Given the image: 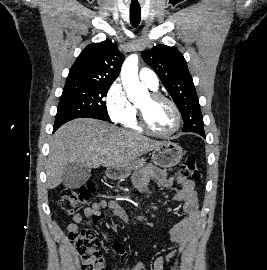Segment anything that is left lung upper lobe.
Returning a JSON list of instances; mask_svg holds the SVG:
<instances>
[{"instance_id": "1", "label": "left lung upper lobe", "mask_w": 267, "mask_h": 270, "mask_svg": "<svg viewBox=\"0 0 267 270\" xmlns=\"http://www.w3.org/2000/svg\"><path fill=\"white\" fill-rule=\"evenodd\" d=\"M142 58L157 73L180 110L183 132L204 134L199 99L183 55L175 47L157 45L143 51Z\"/></svg>"}]
</instances>
